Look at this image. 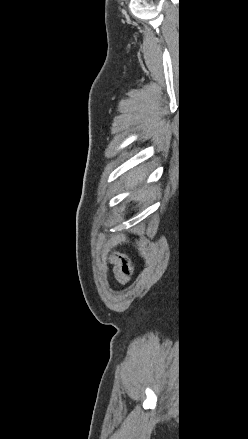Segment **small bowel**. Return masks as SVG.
<instances>
[{"label": "small bowel", "instance_id": "1", "mask_svg": "<svg viewBox=\"0 0 248 439\" xmlns=\"http://www.w3.org/2000/svg\"><path fill=\"white\" fill-rule=\"evenodd\" d=\"M105 260L113 266V273L118 282L127 284L130 281V276L133 273V266L130 261L123 255L113 253L105 256ZM108 267H104L103 273L108 274Z\"/></svg>", "mask_w": 248, "mask_h": 439}]
</instances>
